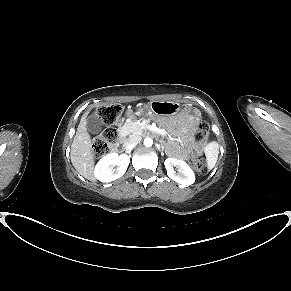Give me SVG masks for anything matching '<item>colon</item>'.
<instances>
[{
	"label": "colon",
	"instance_id": "colon-1",
	"mask_svg": "<svg viewBox=\"0 0 291 291\" xmlns=\"http://www.w3.org/2000/svg\"><path fill=\"white\" fill-rule=\"evenodd\" d=\"M97 116L107 128L93 139V152L96 156H104L111 153L119 144V126L125 116L124 108L120 105H107L97 110ZM209 125L201 121L194 133L195 143L203 145L209 138ZM193 167L198 173L206 171V160L203 155H197L193 161Z\"/></svg>",
	"mask_w": 291,
	"mask_h": 291
}]
</instances>
